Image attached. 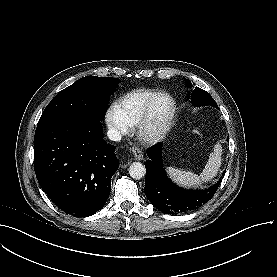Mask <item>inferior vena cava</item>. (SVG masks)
Here are the masks:
<instances>
[{
  "instance_id": "obj_1",
  "label": "inferior vena cava",
  "mask_w": 277,
  "mask_h": 277,
  "mask_svg": "<svg viewBox=\"0 0 277 277\" xmlns=\"http://www.w3.org/2000/svg\"><path fill=\"white\" fill-rule=\"evenodd\" d=\"M107 136L112 141H120L121 140V134L117 129L110 128L107 132Z\"/></svg>"
}]
</instances>
